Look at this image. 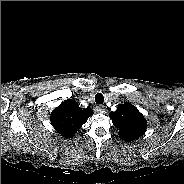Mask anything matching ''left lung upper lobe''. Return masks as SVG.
Instances as JSON below:
<instances>
[{
  "label": "left lung upper lobe",
  "mask_w": 184,
  "mask_h": 184,
  "mask_svg": "<svg viewBox=\"0 0 184 184\" xmlns=\"http://www.w3.org/2000/svg\"><path fill=\"white\" fill-rule=\"evenodd\" d=\"M110 118L120 138L126 142L138 139L147 129L144 116L130 103L120 104L116 111L110 113Z\"/></svg>",
  "instance_id": "1"
}]
</instances>
